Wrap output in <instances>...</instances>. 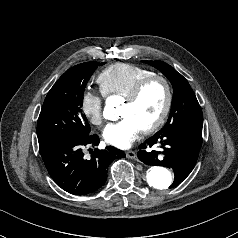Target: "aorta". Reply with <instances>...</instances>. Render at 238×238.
I'll list each match as a JSON object with an SVG mask.
<instances>
[{
	"instance_id": "762f6f07",
	"label": "aorta",
	"mask_w": 238,
	"mask_h": 238,
	"mask_svg": "<svg viewBox=\"0 0 238 238\" xmlns=\"http://www.w3.org/2000/svg\"><path fill=\"white\" fill-rule=\"evenodd\" d=\"M103 116L108 120H116L118 117L117 109L111 99L106 101ZM146 180L151 187L157 190H166L172 184V174L164 167L154 166L147 171Z\"/></svg>"
}]
</instances>
